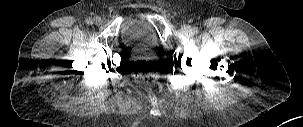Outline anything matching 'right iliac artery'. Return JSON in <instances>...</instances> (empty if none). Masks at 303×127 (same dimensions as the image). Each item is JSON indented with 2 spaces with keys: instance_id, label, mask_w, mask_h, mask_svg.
Segmentation results:
<instances>
[{
  "instance_id": "1",
  "label": "right iliac artery",
  "mask_w": 303,
  "mask_h": 127,
  "mask_svg": "<svg viewBox=\"0 0 303 127\" xmlns=\"http://www.w3.org/2000/svg\"><path fill=\"white\" fill-rule=\"evenodd\" d=\"M86 23L89 24V25L93 24V19L92 18H87Z\"/></svg>"
}]
</instances>
